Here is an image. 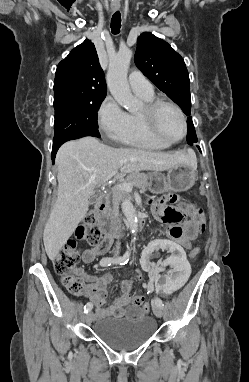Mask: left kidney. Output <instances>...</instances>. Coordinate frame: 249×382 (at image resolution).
Masks as SVG:
<instances>
[{"instance_id":"obj_1","label":"left kidney","mask_w":249,"mask_h":382,"mask_svg":"<svg viewBox=\"0 0 249 382\" xmlns=\"http://www.w3.org/2000/svg\"><path fill=\"white\" fill-rule=\"evenodd\" d=\"M176 244V240L154 237L150 245H143L145 254L141 255L137 264L142 267V273H151L149 281L153 287H158L156 298H163L164 295L167 297L173 289L184 288L186 281L190 280V261L187 260L182 245ZM154 257L167 259L150 262Z\"/></svg>"}]
</instances>
